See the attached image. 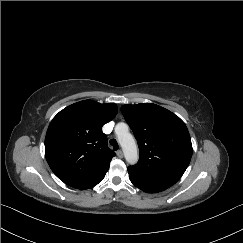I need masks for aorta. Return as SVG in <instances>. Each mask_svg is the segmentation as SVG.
Wrapping results in <instances>:
<instances>
[{
	"label": "aorta",
	"instance_id": "aorta-1",
	"mask_svg": "<svg viewBox=\"0 0 243 243\" xmlns=\"http://www.w3.org/2000/svg\"><path fill=\"white\" fill-rule=\"evenodd\" d=\"M116 134L126 161L131 165L136 164L139 157L137 144L132 134L129 133L127 125L124 123L118 124L116 126Z\"/></svg>",
	"mask_w": 243,
	"mask_h": 243
}]
</instances>
